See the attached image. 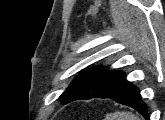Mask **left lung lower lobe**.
Masks as SVG:
<instances>
[{"mask_svg":"<svg viewBox=\"0 0 165 120\" xmlns=\"http://www.w3.org/2000/svg\"><path fill=\"white\" fill-rule=\"evenodd\" d=\"M106 98L113 99L117 103L130 106L137 110L146 119L147 117V107L142 102L139 90L136 86L128 82L126 79L113 93H111Z\"/></svg>","mask_w":165,"mask_h":120,"instance_id":"obj_1","label":"left lung lower lobe"}]
</instances>
